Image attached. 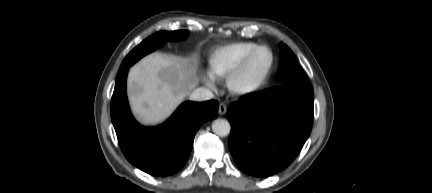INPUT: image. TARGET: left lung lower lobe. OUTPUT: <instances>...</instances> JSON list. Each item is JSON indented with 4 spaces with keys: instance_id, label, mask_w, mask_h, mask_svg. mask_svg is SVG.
<instances>
[{
    "instance_id": "0a47b994",
    "label": "left lung lower lobe",
    "mask_w": 432,
    "mask_h": 193,
    "mask_svg": "<svg viewBox=\"0 0 432 193\" xmlns=\"http://www.w3.org/2000/svg\"><path fill=\"white\" fill-rule=\"evenodd\" d=\"M310 87L281 85L232 103L229 149L245 173L265 177L287 167L302 149L313 121Z\"/></svg>"
}]
</instances>
